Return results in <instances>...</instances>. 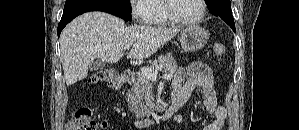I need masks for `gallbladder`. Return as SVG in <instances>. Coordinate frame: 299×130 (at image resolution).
Segmentation results:
<instances>
[{"mask_svg": "<svg viewBox=\"0 0 299 130\" xmlns=\"http://www.w3.org/2000/svg\"><path fill=\"white\" fill-rule=\"evenodd\" d=\"M106 66V63L100 59H95L89 66L91 71H97L103 69Z\"/></svg>", "mask_w": 299, "mask_h": 130, "instance_id": "obj_1", "label": "gallbladder"}]
</instances>
